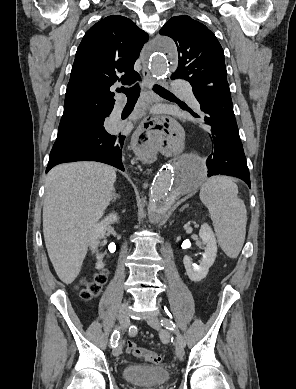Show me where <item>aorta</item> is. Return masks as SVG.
Masks as SVG:
<instances>
[{
    "instance_id": "762f6f07",
    "label": "aorta",
    "mask_w": 296,
    "mask_h": 389,
    "mask_svg": "<svg viewBox=\"0 0 296 389\" xmlns=\"http://www.w3.org/2000/svg\"><path fill=\"white\" fill-rule=\"evenodd\" d=\"M150 69L157 78L174 75L178 59L175 43L168 38H157L153 43ZM206 172L204 160L187 157L177 170L167 165L155 176L149 193L148 218L152 223L161 221L179 196L192 192Z\"/></svg>"
}]
</instances>
